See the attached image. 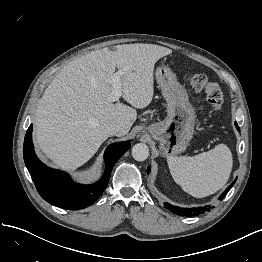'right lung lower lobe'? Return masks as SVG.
<instances>
[{"instance_id": "right-lung-lower-lobe-1", "label": "right lung lower lobe", "mask_w": 262, "mask_h": 262, "mask_svg": "<svg viewBox=\"0 0 262 262\" xmlns=\"http://www.w3.org/2000/svg\"><path fill=\"white\" fill-rule=\"evenodd\" d=\"M31 133L32 125L25 135L23 156L32 180L44 200L68 210L86 208L100 197L109 182L113 166L131 146L129 141L109 145L104 154L106 168L102 178L92 185H79L66 173L45 166L37 158Z\"/></svg>"}]
</instances>
